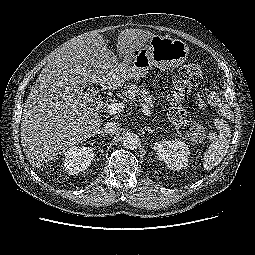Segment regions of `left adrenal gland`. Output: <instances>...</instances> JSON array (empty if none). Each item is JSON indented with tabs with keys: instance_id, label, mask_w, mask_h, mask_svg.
I'll return each instance as SVG.
<instances>
[{
	"instance_id": "obj_1",
	"label": "left adrenal gland",
	"mask_w": 255,
	"mask_h": 255,
	"mask_svg": "<svg viewBox=\"0 0 255 255\" xmlns=\"http://www.w3.org/2000/svg\"><path fill=\"white\" fill-rule=\"evenodd\" d=\"M160 127H157L155 129H151L150 127H146V129L148 130V133L151 134L153 133L155 130L159 129Z\"/></svg>"
}]
</instances>
